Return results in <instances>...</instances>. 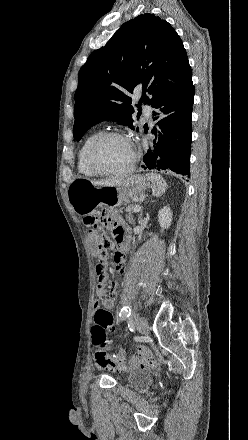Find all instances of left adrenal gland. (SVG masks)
<instances>
[{
    "mask_svg": "<svg viewBox=\"0 0 248 440\" xmlns=\"http://www.w3.org/2000/svg\"><path fill=\"white\" fill-rule=\"evenodd\" d=\"M142 217V211H141V213H140V216H139V218H141Z\"/></svg>",
    "mask_w": 248,
    "mask_h": 440,
    "instance_id": "left-adrenal-gland-1",
    "label": "left adrenal gland"
}]
</instances>
